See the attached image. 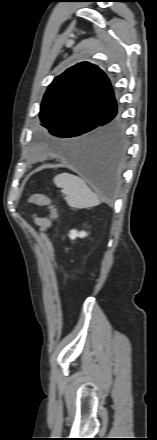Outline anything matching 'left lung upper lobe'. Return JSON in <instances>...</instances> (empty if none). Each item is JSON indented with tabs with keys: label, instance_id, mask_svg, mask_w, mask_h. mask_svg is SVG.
I'll return each instance as SVG.
<instances>
[{
	"label": "left lung upper lobe",
	"instance_id": "1",
	"mask_svg": "<svg viewBox=\"0 0 157 440\" xmlns=\"http://www.w3.org/2000/svg\"><path fill=\"white\" fill-rule=\"evenodd\" d=\"M42 126L59 138L97 134L117 113L113 89L96 65L82 62L56 77L48 87L40 108Z\"/></svg>",
	"mask_w": 157,
	"mask_h": 440
}]
</instances>
